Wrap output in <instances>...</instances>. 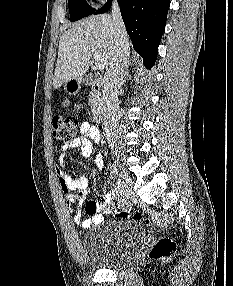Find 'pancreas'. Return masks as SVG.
Instances as JSON below:
<instances>
[{
	"label": "pancreas",
	"instance_id": "obj_1",
	"mask_svg": "<svg viewBox=\"0 0 233 286\" xmlns=\"http://www.w3.org/2000/svg\"><path fill=\"white\" fill-rule=\"evenodd\" d=\"M89 104L93 117L97 118L100 112V107L102 105L101 96L96 92H91Z\"/></svg>",
	"mask_w": 233,
	"mask_h": 286
}]
</instances>
